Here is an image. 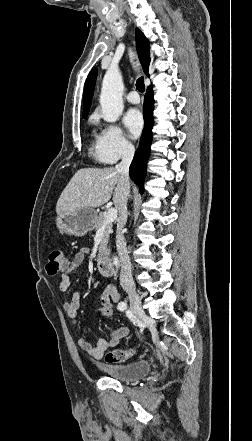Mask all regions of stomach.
Wrapping results in <instances>:
<instances>
[{"label": "stomach", "instance_id": "0dacf381", "mask_svg": "<svg viewBox=\"0 0 252 441\" xmlns=\"http://www.w3.org/2000/svg\"><path fill=\"white\" fill-rule=\"evenodd\" d=\"M97 212L91 208L77 209L71 213L58 214L56 225L60 232L72 236H84L94 228Z\"/></svg>", "mask_w": 252, "mask_h": 441}]
</instances>
